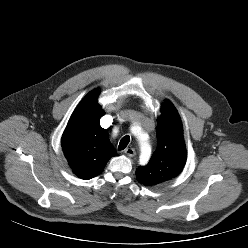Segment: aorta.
Wrapping results in <instances>:
<instances>
[{
  "label": "aorta",
  "mask_w": 248,
  "mask_h": 248,
  "mask_svg": "<svg viewBox=\"0 0 248 248\" xmlns=\"http://www.w3.org/2000/svg\"><path fill=\"white\" fill-rule=\"evenodd\" d=\"M139 140H140V146H141V150L143 152H149L150 151V146L147 142V139L144 138V136L142 134L139 135Z\"/></svg>",
  "instance_id": "obj_1"
}]
</instances>
